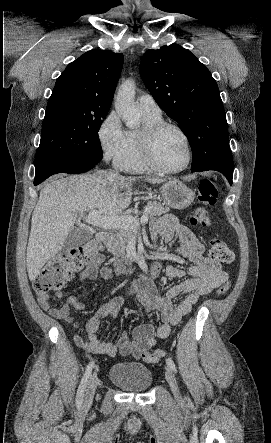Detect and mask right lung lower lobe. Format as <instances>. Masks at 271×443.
Returning <instances> with one entry per match:
<instances>
[{
  "label": "right lung lower lobe",
  "mask_w": 271,
  "mask_h": 443,
  "mask_svg": "<svg viewBox=\"0 0 271 443\" xmlns=\"http://www.w3.org/2000/svg\"><path fill=\"white\" fill-rule=\"evenodd\" d=\"M98 162L94 158H61L44 162L35 167L34 185L40 184L46 178L57 173L77 174L92 169Z\"/></svg>",
  "instance_id": "98d812e1"
}]
</instances>
